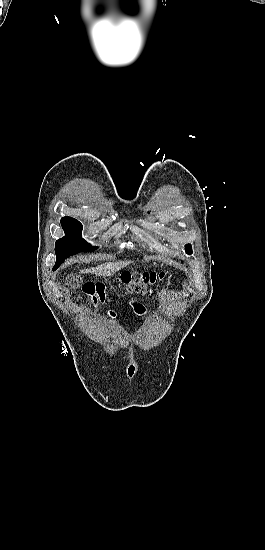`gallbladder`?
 I'll return each instance as SVG.
<instances>
[{
    "label": "gallbladder",
    "instance_id": "gallbladder-1",
    "mask_svg": "<svg viewBox=\"0 0 265 550\" xmlns=\"http://www.w3.org/2000/svg\"><path fill=\"white\" fill-rule=\"evenodd\" d=\"M69 285H70L72 288H78V287H80V285H81V280H78V279L70 280V281H69Z\"/></svg>",
    "mask_w": 265,
    "mask_h": 550
}]
</instances>
